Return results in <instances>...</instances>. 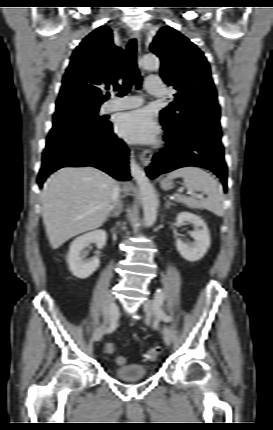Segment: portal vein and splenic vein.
Segmentation results:
<instances>
[{"label":"portal vein and splenic vein","instance_id":"1","mask_svg":"<svg viewBox=\"0 0 273 430\" xmlns=\"http://www.w3.org/2000/svg\"><path fill=\"white\" fill-rule=\"evenodd\" d=\"M189 194L193 195V196L201 197V198L203 197V194H194V193H191V192Z\"/></svg>","mask_w":273,"mask_h":430}]
</instances>
